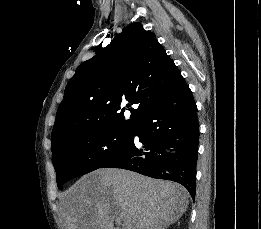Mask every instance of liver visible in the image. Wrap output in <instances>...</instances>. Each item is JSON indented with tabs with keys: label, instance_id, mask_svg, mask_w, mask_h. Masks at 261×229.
Returning a JSON list of instances; mask_svg holds the SVG:
<instances>
[{
	"label": "liver",
	"instance_id": "liver-1",
	"mask_svg": "<svg viewBox=\"0 0 261 229\" xmlns=\"http://www.w3.org/2000/svg\"><path fill=\"white\" fill-rule=\"evenodd\" d=\"M189 205L185 187L124 169H97L76 181L63 201L66 229H166Z\"/></svg>",
	"mask_w": 261,
	"mask_h": 229
}]
</instances>
